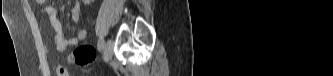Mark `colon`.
Segmentation results:
<instances>
[{
    "instance_id": "obj_1",
    "label": "colon",
    "mask_w": 333,
    "mask_h": 76,
    "mask_svg": "<svg viewBox=\"0 0 333 76\" xmlns=\"http://www.w3.org/2000/svg\"><path fill=\"white\" fill-rule=\"evenodd\" d=\"M96 58V52L92 45L84 44L79 46L69 57V61L78 66H88Z\"/></svg>"
}]
</instances>
